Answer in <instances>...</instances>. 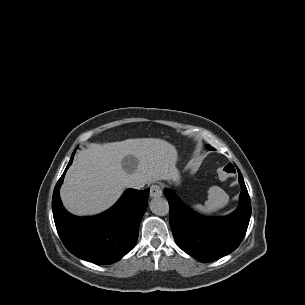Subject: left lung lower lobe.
<instances>
[{
    "mask_svg": "<svg viewBox=\"0 0 305 305\" xmlns=\"http://www.w3.org/2000/svg\"><path fill=\"white\" fill-rule=\"evenodd\" d=\"M241 203L230 215L205 217L193 212L171 190L169 199L170 226L177 245L201 262H209L235 250L245 236L250 216V198L239 172Z\"/></svg>",
    "mask_w": 305,
    "mask_h": 305,
    "instance_id": "1",
    "label": "left lung lower lobe"
}]
</instances>
